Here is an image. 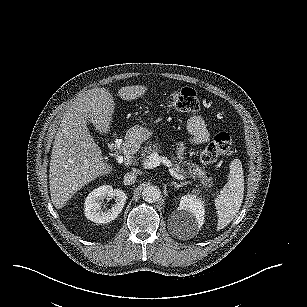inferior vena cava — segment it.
<instances>
[{"label": "inferior vena cava", "mask_w": 307, "mask_h": 307, "mask_svg": "<svg viewBox=\"0 0 307 307\" xmlns=\"http://www.w3.org/2000/svg\"><path fill=\"white\" fill-rule=\"evenodd\" d=\"M137 179V175L131 172H128L124 175V184L125 185H132L135 183Z\"/></svg>", "instance_id": "obj_1"}]
</instances>
